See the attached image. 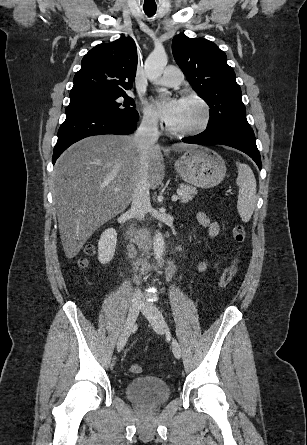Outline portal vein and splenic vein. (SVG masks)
I'll return each instance as SVG.
<instances>
[{
	"label": "portal vein and splenic vein",
	"instance_id": "18ae733b",
	"mask_svg": "<svg viewBox=\"0 0 307 445\" xmlns=\"http://www.w3.org/2000/svg\"><path fill=\"white\" fill-rule=\"evenodd\" d=\"M114 190H119V188H114ZM179 196H177V194H174V196H172V200H178Z\"/></svg>",
	"mask_w": 307,
	"mask_h": 445
}]
</instances>
